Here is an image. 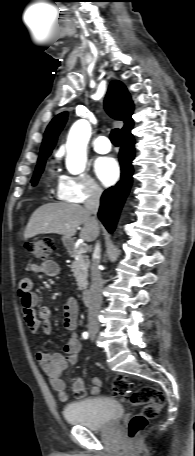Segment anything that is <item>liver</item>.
<instances>
[{
    "label": "liver",
    "mask_w": 195,
    "mask_h": 456,
    "mask_svg": "<svg viewBox=\"0 0 195 456\" xmlns=\"http://www.w3.org/2000/svg\"><path fill=\"white\" fill-rule=\"evenodd\" d=\"M80 225H83L79 235L81 239L92 242L98 237L99 224L91 220V214L85 207L71 203H48L34 211L24 230V238L55 233L71 239Z\"/></svg>",
    "instance_id": "obj_1"
}]
</instances>
